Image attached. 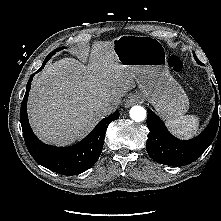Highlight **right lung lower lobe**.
<instances>
[{
	"label": "right lung lower lobe",
	"instance_id": "obj_1",
	"mask_svg": "<svg viewBox=\"0 0 221 221\" xmlns=\"http://www.w3.org/2000/svg\"><path fill=\"white\" fill-rule=\"evenodd\" d=\"M50 58L48 56L45 59L37 72L44 68ZM33 76L34 74L30 76L27 83L20 109L22 131L29 153L40 165L59 174L71 176L88 170L98 160L102 152L107 126L110 122L119 118V112L115 111L113 114L102 119L87 137L73 146L58 148L44 144L34 135L29 125L26 110Z\"/></svg>",
	"mask_w": 221,
	"mask_h": 221
}]
</instances>
